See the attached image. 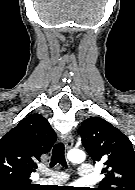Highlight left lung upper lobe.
<instances>
[{"mask_svg":"<svg viewBox=\"0 0 135 190\" xmlns=\"http://www.w3.org/2000/svg\"><path fill=\"white\" fill-rule=\"evenodd\" d=\"M78 133L93 162L106 165L96 190H135V151L129 138L99 117L84 120Z\"/></svg>","mask_w":135,"mask_h":190,"instance_id":"1","label":"left lung upper lobe"}]
</instances>
